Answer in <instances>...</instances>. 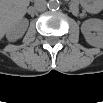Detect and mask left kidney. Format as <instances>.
Returning a JSON list of instances; mask_svg holds the SVG:
<instances>
[{
	"label": "left kidney",
	"instance_id": "5707ae66",
	"mask_svg": "<svg viewBox=\"0 0 103 103\" xmlns=\"http://www.w3.org/2000/svg\"><path fill=\"white\" fill-rule=\"evenodd\" d=\"M96 31V34L91 33ZM81 32L88 44L94 47H102L103 45V21L92 18L83 22L81 25Z\"/></svg>",
	"mask_w": 103,
	"mask_h": 103
}]
</instances>
